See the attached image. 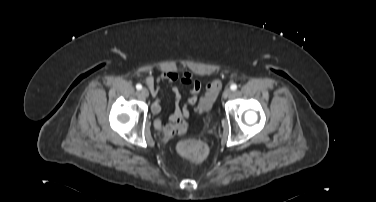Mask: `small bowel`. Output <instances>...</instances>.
I'll list each match as a JSON object with an SVG mask.
<instances>
[{
	"instance_id": "c3829d8e",
	"label": "small bowel",
	"mask_w": 376,
	"mask_h": 202,
	"mask_svg": "<svg viewBox=\"0 0 376 202\" xmlns=\"http://www.w3.org/2000/svg\"><path fill=\"white\" fill-rule=\"evenodd\" d=\"M161 81H167L170 84H173L172 91L176 102L174 111L169 117L170 122L174 124H184V120L190 116V107L195 105L198 101V95L202 88L201 82L194 79L190 73H184L182 76H179L173 70L163 71L157 78L152 76L146 77L145 83L147 84L151 95L155 98L152 103V111L156 115H159L161 112V103L159 99V83ZM176 82H180L190 87L189 98L184 105H181V92L179 88L174 85ZM155 127H161V120L159 117L155 121Z\"/></svg>"
}]
</instances>
